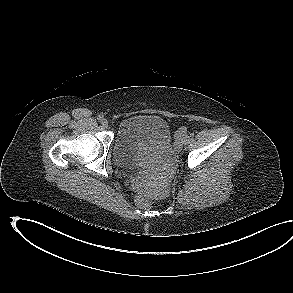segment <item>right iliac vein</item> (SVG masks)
I'll list each match as a JSON object with an SVG mask.
<instances>
[{
  "instance_id": "obj_1",
  "label": "right iliac vein",
  "mask_w": 293,
  "mask_h": 293,
  "mask_svg": "<svg viewBox=\"0 0 293 293\" xmlns=\"http://www.w3.org/2000/svg\"><path fill=\"white\" fill-rule=\"evenodd\" d=\"M101 123H102L103 127H105V128H107L109 126V122L107 119H103Z\"/></svg>"
}]
</instances>
